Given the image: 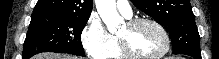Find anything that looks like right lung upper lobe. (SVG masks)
<instances>
[{"instance_id": "obj_1", "label": "right lung upper lobe", "mask_w": 219, "mask_h": 59, "mask_svg": "<svg viewBox=\"0 0 219 59\" xmlns=\"http://www.w3.org/2000/svg\"><path fill=\"white\" fill-rule=\"evenodd\" d=\"M93 0H38L33 14L89 17Z\"/></svg>"}]
</instances>
